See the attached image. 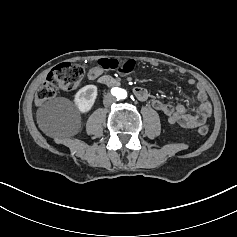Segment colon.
<instances>
[{"instance_id": "5ec220e1", "label": "colon", "mask_w": 237, "mask_h": 237, "mask_svg": "<svg viewBox=\"0 0 237 237\" xmlns=\"http://www.w3.org/2000/svg\"><path fill=\"white\" fill-rule=\"evenodd\" d=\"M98 65L104 70H110L120 75H126L134 71L136 63L134 60L121 62L117 59H100ZM84 70L81 66L72 63H62L55 66L40 85L36 93V102L41 105L53 98L58 90L70 91L75 89L81 82ZM200 135L208 133V127H198Z\"/></svg>"}]
</instances>
